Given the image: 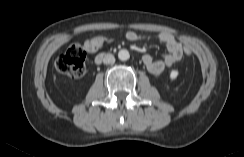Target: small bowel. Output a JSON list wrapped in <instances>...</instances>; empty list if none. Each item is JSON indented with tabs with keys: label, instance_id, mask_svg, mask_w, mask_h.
Listing matches in <instances>:
<instances>
[{
	"label": "small bowel",
	"instance_id": "small-bowel-1",
	"mask_svg": "<svg viewBox=\"0 0 244 157\" xmlns=\"http://www.w3.org/2000/svg\"><path fill=\"white\" fill-rule=\"evenodd\" d=\"M126 38L130 41H138L146 38V36L134 31H128L126 33ZM155 38L166 47L168 52L159 60L154 59L150 54H146L143 56V63L152 75L159 76L166 68L181 60L183 48L179 40L170 33L162 32L156 35Z\"/></svg>",
	"mask_w": 244,
	"mask_h": 157
}]
</instances>
